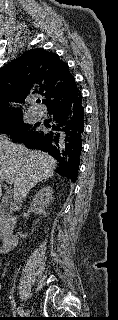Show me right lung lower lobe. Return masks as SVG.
Here are the masks:
<instances>
[{
    "label": "right lung lower lobe",
    "instance_id": "right-lung-lower-lobe-1",
    "mask_svg": "<svg viewBox=\"0 0 118 320\" xmlns=\"http://www.w3.org/2000/svg\"><path fill=\"white\" fill-rule=\"evenodd\" d=\"M51 116L49 129L38 128L29 136L18 140L27 148L47 152L58 162L56 172L75 182L77 180L84 135V108L77 88L72 94L47 105Z\"/></svg>",
    "mask_w": 118,
    "mask_h": 320
}]
</instances>
